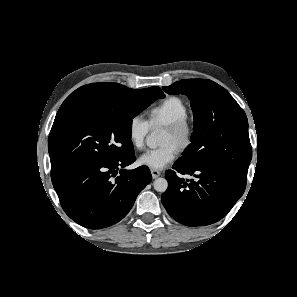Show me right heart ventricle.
I'll return each instance as SVG.
<instances>
[{
	"instance_id": "obj_1",
	"label": "right heart ventricle",
	"mask_w": 297,
	"mask_h": 297,
	"mask_svg": "<svg viewBox=\"0 0 297 297\" xmlns=\"http://www.w3.org/2000/svg\"><path fill=\"white\" fill-rule=\"evenodd\" d=\"M187 114V105L180 97L168 96L149 109L148 123L151 127L167 126L187 118Z\"/></svg>"
}]
</instances>
